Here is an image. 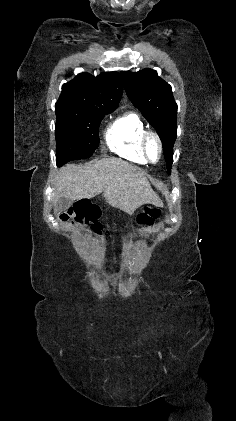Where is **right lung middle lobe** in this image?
Listing matches in <instances>:
<instances>
[{"label": "right lung middle lobe", "mask_w": 236, "mask_h": 421, "mask_svg": "<svg viewBox=\"0 0 236 421\" xmlns=\"http://www.w3.org/2000/svg\"><path fill=\"white\" fill-rule=\"evenodd\" d=\"M114 110L92 104L58 101L55 105L57 165L91 157L99 144V124L105 115Z\"/></svg>", "instance_id": "dd1d6c3e"}]
</instances>
